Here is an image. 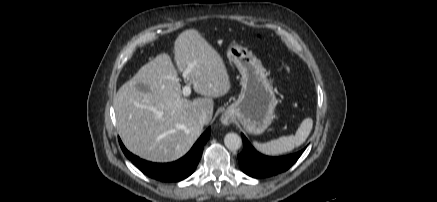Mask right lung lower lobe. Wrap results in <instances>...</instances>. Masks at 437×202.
<instances>
[{
	"mask_svg": "<svg viewBox=\"0 0 437 202\" xmlns=\"http://www.w3.org/2000/svg\"><path fill=\"white\" fill-rule=\"evenodd\" d=\"M211 128L209 127L193 145L191 150L181 159L171 163H152L140 159L130 153L119 139L120 146L125 156L147 176L164 182H178L190 176L196 169L204 148L210 138Z\"/></svg>",
	"mask_w": 437,
	"mask_h": 202,
	"instance_id": "right-lung-lower-lobe-1",
	"label": "right lung lower lobe"
}]
</instances>
